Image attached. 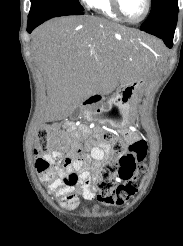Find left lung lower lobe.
Returning a JSON list of instances; mask_svg holds the SVG:
<instances>
[{
    "label": "left lung lower lobe",
    "mask_w": 183,
    "mask_h": 246,
    "mask_svg": "<svg viewBox=\"0 0 183 246\" xmlns=\"http://www.w3.org/2000/svg\"><path fill=\"white\" fill-rule=\"evenodd\" d=\"M177 14L159 24L150 27H139V29L157 36L164 41L168 48H172L174 32L177 24Z\"/></svg>",
    "instance_id": "0a47b994"
}]
</instances>
